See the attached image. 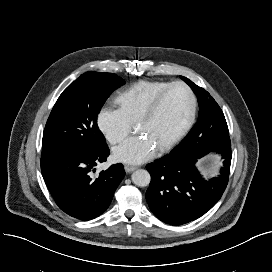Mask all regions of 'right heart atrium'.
<instances>
[{"mask_svg": "<svg viewBox=\"0 0 272 272\" xmlns=\"http://www.w3.org/2000/svg\"><path fill=\"white\" fill-rule=\"evenodd\" d=\"M96 127L111 144L121 142L132 130L133 123L120 108L110 104L100 106L95 117Z\"/></svg>", "mask_w": 272, "mask_h": 272, "instance_id": "d8ad5b80", "label": "right heart atrium"}]
</instances>
